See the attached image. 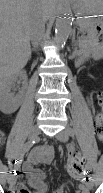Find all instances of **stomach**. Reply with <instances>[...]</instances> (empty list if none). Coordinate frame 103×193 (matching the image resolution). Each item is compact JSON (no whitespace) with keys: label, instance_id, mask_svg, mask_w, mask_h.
<instances>
[{"label":"stomach","instance_id":"0dacf381","mask_svg":"<svg viewBox=\"0 0 103 193\" xmlns=\"http://www.w3.org/2000/svg\"><path fill=\"white\" fill-rule=\"evenodd\" d=\"M74 11L79 15H99L103 11V0H72Z\"/></svg>","mask_w":103,"mask_h":193}]
</instances>
